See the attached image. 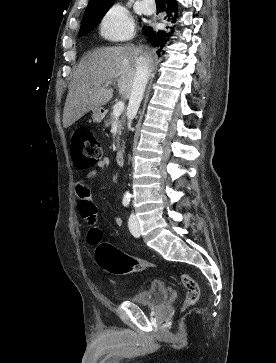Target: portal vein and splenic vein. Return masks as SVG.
Returning <instances> with one entry per match:
<instances>
[{"mask_svg": "<svg viewBox=\"0 0 276 363\" xmlns=\"http://www.w3.org/2000/svg\"><path fill=\"white\" fill-rule=\"evenodd\" d=\"M105 86L106 87L109 86V83H106ZM123 110H124V102L119 101L118 103H116L114 105V109H113L114 116L116 118L119 117L122 114Z\"/></svg>", "mask_w": 276, "mask_h": 363, "instance_id": "1", "label": "portal vein and splenic vein"}]
</instances>
